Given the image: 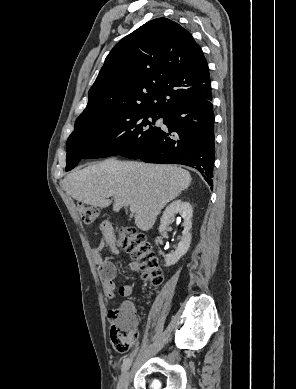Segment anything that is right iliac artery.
I'll return each instance as SVG.
<instances>
[{
  "label": "right iliac artery",
  "mask_w": 296,
  "mask_h": 389,
  "mask_svg": "<svg viewBox=\"0 0 296 389\" xmlns=\"http://www.w3.org/2000/svg\"><path fill=\"white\" fill-rule=\"evenodd\" d=\"M135 354H136V351L133 352V353L130 355L129 358L124 359L123 364H122V372H126V371L129 369V367H130L131 364H132V359H133V357L135 356Z\"/></svg>",
  "instance_id": "1"
}]
</instances>
